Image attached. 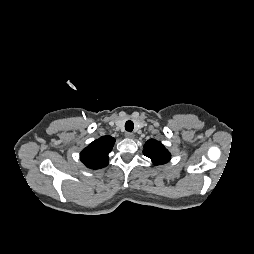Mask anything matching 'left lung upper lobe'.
Masks as SVG:
<instances>
[{
  "instance_id": "1",
  "label": "left lung upper lobe",
  "mask_w": 254,
  "mask_h": 254,
  "mask_svg": "<svg viewBox=\"0 0 254 254\" xmlns=\"http://www.w3.org/2000/svg\"><path fill=\"white\" fill-rule=\"evenodd\" d=\"M143 154L149 157L154 165L165 164L170 160V153L164 145L154 139L148 140L144 145Z\"/></svg>"
}]
</instances>
